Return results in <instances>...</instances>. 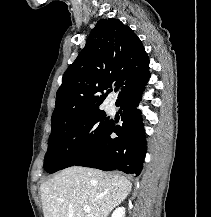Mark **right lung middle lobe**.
<instances>
[{
    "label": "right lung middle lobe",
    "mask_w": 211,
    "mask_h": 217,
    "mask_svg": "<svg viewBox=\"0 0 211 217\" xmlns=\"http://www.w3.org/2000/svg\"><path fill=\"white\" fill-rule=\"evenodd\" d=\"M109 124L105 112L96 110L52 128L44 170L54 173L84 159L100 144Z\"/></svg>",
    "instance_id": "right-lung-middle-lobe-1"
}]
</instances>
